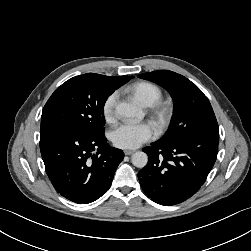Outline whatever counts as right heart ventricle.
Returning <instances> with one entry per match:
<instances>
[{"label": "right heart ventricle", "mask_w": 251, "mask_h": 251, "mask_svg": "<svg viewBox=\"0 0 251 251\" xmlns=\"http://www.w3.org/2000/svg\"><path fill=\"white\" fill-rule=\"evenodd\" d=\"M129 91L144 106H152L162 97L160 87L147 81L133 84Z\"/></svg>", "instance_id": "obj_1"}]
</instances>
